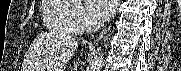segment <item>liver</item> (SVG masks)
I'll return each mask as SVG.
<instances>
[{"label":"liver","mask_w":181,"mask_h":71,"mask_svg":"<svg viewBox=\"0 0 181 71\" xmlns=\"http://www.w3.org/2000/svg\"><path fill=\"white\" fill-rule=\"evenodd\" d=\"M76 46L77 41L72 36L57 32L41 33L25 59L26 71H52L61 67L70 60Z\"/></svg>","instance_id":"liver-1"}]
</instances>
